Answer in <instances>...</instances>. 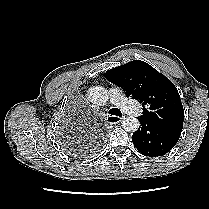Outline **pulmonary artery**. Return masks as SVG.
Listing matches in <instances>:
<instances>
[{
	"instance_id": "e3ab8cb5",
	"label": "pulmonary artery",
	"mask_w": 209,
	"mask_h": 209,
	"mask_svg": "<svg viewBox=\"0 0 209 209\" xmlns=\"http://www.w3.org/2000/svg\"><path fill=\"white\" fill-rule=\"evenodd\" d=\"M109 94L110 100L115 106H117L127 114L139 115V107L136 104H134V102L124 97L120 89L112 88L110 89Z\"/></svg>"
}]
</instances>
